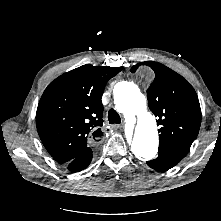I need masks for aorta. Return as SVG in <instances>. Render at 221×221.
I'll list each match as a JSON object with an SVG mask.
<instances>
[{
    "instance_id": "762f6f07",
    "label": "aorta",
    "mask_w": 221,
    "mask_h": 221,
    "mask_svg": "<svg viewBox=\"0 0 221 221\" xmlns=\"http://www.w3.org/2000/svg\"><path fill=\"white\" fill-rule=\"evenodd\" d=\"M118 112L136 121L131 149L140 160H152L158 150L159 136L155 117L147 112L145 96L132 82H123L114 92Z\"/></svg>"
}]
</instances>
